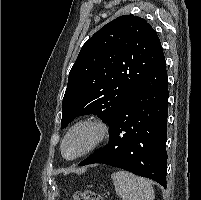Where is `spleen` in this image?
Instances as JSON below:
<instances>
[{
  "label": "spleen",
  "instance_id": "spleen-1",
  "mask_svg": "<svg viewBox=\"0 0 201 200\" xmlns=\"http://www.w3.org/2000/svg\"><path fill=\"white\" fill-rule=\"evenodd\" d=\"M111 178L116 193L122 200H154L150 181L127 171L114 172Z\"/></svg>",
  "mask_w": 201,
  "mask_h": 200
}]
</instances>
